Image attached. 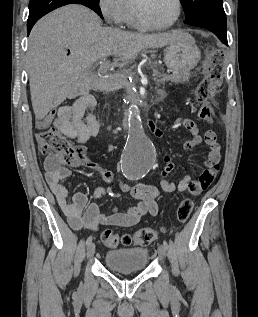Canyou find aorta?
I'll use <instances>...</instances> for the list:
<instances>
[{
    "label": "aorta",
    "mask_w": 258,
    "mask_h": 317,
    "mask_svg": "<svg viewBox=\"0 0 258 317\" xmlns=\"http://www.w3.org/2000/svg\"><path fill=\"white\" fill-rule=\"evenodd\" d=\"M155 158V148L145 134L139 109L131 106L128 112V137L121 157L122 172L129 179H140L152 168Z\"/></svg>",
    "instance_id": "aorta-1"
}]
</instances>
